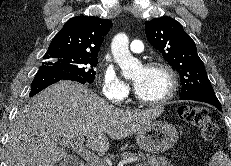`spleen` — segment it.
I'll return each mask as SVG.
<instances>
[{"mask_svg": "<svg viewBox=\"0 0 231 166\" xmlns=\"http://www.w3.org/2000/svg\"><path fill=\"white\" fill-rule=\"evenodd\" d=\"M209 166H231V160L224 151L220 149L212 156Z\"/></svg>", "mask_w": 231, "mask_h": 166, "instance_id": "obj_1", "label": "spleen"}]
</instances>
